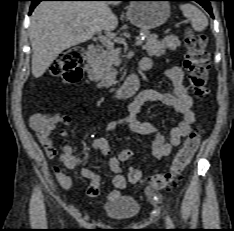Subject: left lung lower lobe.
I'll return each mask as SVG.
<instances>
[{"mask_svg":"<svg viewBox=\"0 0 234 231\" xmlns=\"http://www.w3.org/2000/svg\"><path fill=\"white\" fill-rule=\"evenodd\" d=\"M124 1H132V0H124ZM169 1H196L201 6H203L206 9V11L213 17L212 9L210 6V1L213 0H169Z\"/></svg>","mask_w":234,"mask_h":231,"instance_id":"obj_1","label":"left lung lower lobe"}]
</instances>
